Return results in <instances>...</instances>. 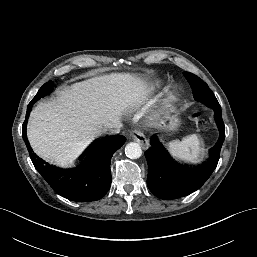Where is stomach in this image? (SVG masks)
<instances>
[{"mask_svg":"<svg viewBox=\"0 0 257 257\" xmlns=\"http://www.w3.org/2000/svg\"><path fill=\"white\" fill-rule=\"evenodd\" d=\"M180 125V118L178 112L171 106L166 107L162 111L160 118V128L165 131H175Z\"/></svg>","mask_w":257,"mask_h":257,"instance_id":"0dacf381","label":"stomach"}]
</instances>
